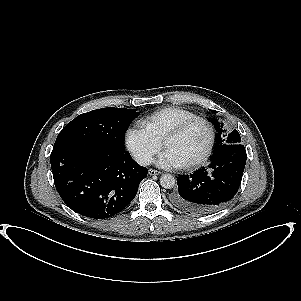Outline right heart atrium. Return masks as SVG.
I'll return each instance as SVG.
<instances>
[{
    "instance_id": "d8ad5b80",
    "label": "right heart atrium",
    "mask_w": 301,
    "mask_h": 301,
    "mask_svg": "<svg viewBox=\"0 0 301 301\" xmlns=\"http://www.w3.org/2000/svg\"><path fill=\"white\" fill-rule=\"evenodd\" d=\"M128 150L138 162L149 164L160 151L161 142L155 139L145 128L130 127L125 133Z\"/></svg>"
}]
</instances>
